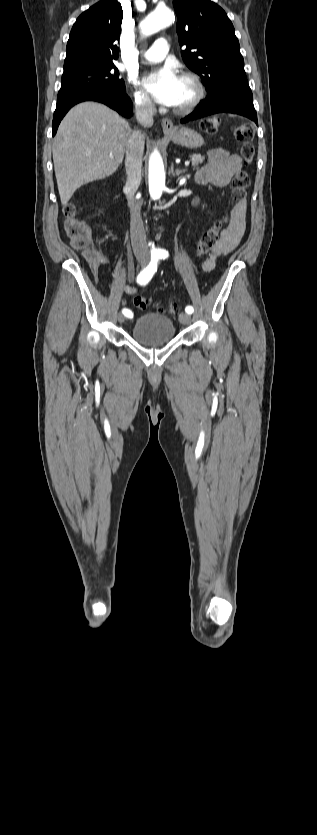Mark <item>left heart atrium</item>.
<instances>
[{"label":"left heart atrium","instance_id":"obj_1","mask_svg":"<svg viewBox=\"0 0 317 835\" xmlns=\"http://www.w3.org/2000/svg\"><path fill=\"white\" fill-rule=\"evenodd\" d=\"M143 85L157 102L167 106H175L180 78L170 65L147 75L143 80Z\"/></svg>","mask_w":317,"mask_h":835}]
</instances>
